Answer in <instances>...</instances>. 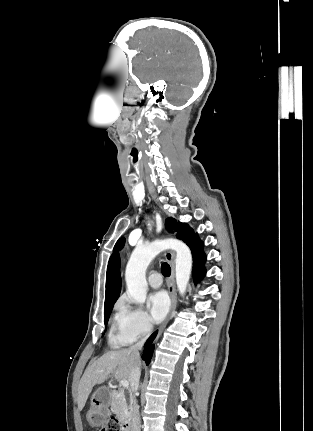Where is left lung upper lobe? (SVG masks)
<instances>
[{
	"instance_id": "5c2ea615",
	"label": "left lung upper lobe",
	"mask_w": 313,
	"mask_h": 431,
	"mask_svg": "<svg viewBox=\"0 0 313 431\" xmlns=\"http://www.w3.org/2000/svg\"><path fill=\"white\" fill-rule=\"evenodd\" d=\"M166 228L169 231L174 230L176 232L177 238L183 240L187 245L196 236L194 231L186 223L177 222L173 218H168L166 220ZM124 243L125 238H120L114 247V251L122 249Z\"/></svg>"
}]
</instances>
